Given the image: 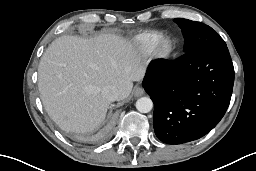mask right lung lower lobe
Listing matches in <instances>:
<instances>
[{
	"label": "right lung lower lobe",
	"mask_w": 256,
	"mask_h": 171,
	"mask_svg": "<svg viewBox=\"0 0 256 171\" xmlns=\"http://www.w3.org/2000/svg\"><path fill=\"white\" fill-rule=\"evenodd\" d=\"M116 119V113L110 115L107 121L104 123L103 127L94 135L91 136L92 139L103 141L110 137L112 130L114 128V123Z\"/></svg>",
	"instance_id": "1"
}]
</instances>
